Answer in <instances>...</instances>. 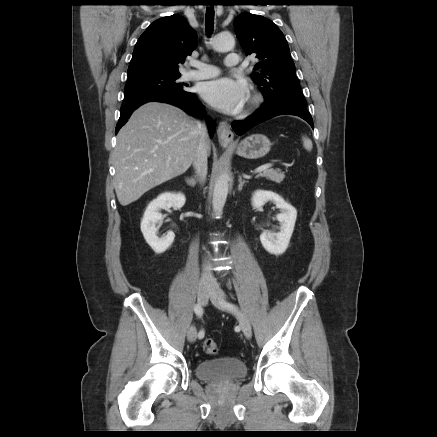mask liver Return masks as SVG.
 I'll return each mask as SVG.
<instances>
[{
  "mask_svg": "<svg viewBox=\"0 0 437 437\" xmlns=\"http://www.w3.org/2000/svg\"><path fill=\"white\" fill-rule=\"evenodd\" d=\"M199 139V122L173 105L149 102L136 109L118 132L113 152L119 203L127 206L185 173Z\"/></svg>",
  "mask_w": 437,
  "mask_h": 437,
  "instance_id": "obj_1",
  "label": "liver"
}]
</instances>
